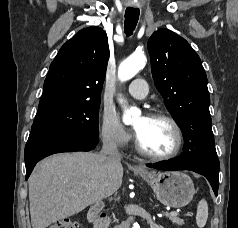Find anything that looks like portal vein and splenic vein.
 Wrapping results in <instances>:
<instances>
[{"label": "portal vein and splenic vein", "instance_id": "1", "mask_svg": "<svg viewBox=\"0 0 238 228\" xmlns=\"http://www.w3.org/2000/svg\"><path fill=\"white\" fill-rule=\"evenodd\" d=\"M168 215H171V216H176L177 215V212H175V211H172V212H169V213H167Z\"/></svg>", "mask_w": 238, "mask_h": 228}]
</instances>
